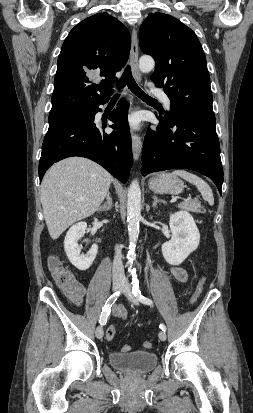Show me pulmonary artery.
Here are the masks:
<instances>
[{
    "instance_id": "e3ab8cb5",
    "label": "pulmonary artery",
    "mask_w": 253,
    "mask_h": 413,
    "mask_svg": "<svg viewBox=\"0 0 253 413\" xmlns=\"http://www.w3.org/2000/svg\"><path fill=\"white\" fill-rule=\"evenodd\" d=\"M152 93H153L156 97L160 98L168 109L170 108L171 101H170L169 97L167 96V94H166L163 90H161V89H153V90H152Z\"/></svg>"
}]
</instances>
